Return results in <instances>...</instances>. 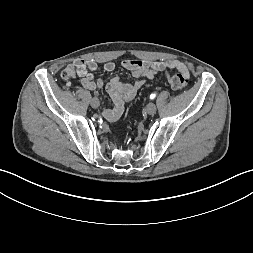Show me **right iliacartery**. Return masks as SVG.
<instances>
[{
	"mask_svg": "<svg viewBox=\"0 0 253 253\" xmlns=\"http://www.w3.org/2000/svg\"><path fill=\"white\" fill-rule=\"evenodd\" d=\"M99 95L98 92H94V96L97 97Z\"/></svg>",
	"mask_w": 253,
	"mask_h": 253,
	"instance_id": "obj_1",
	"label": "right iliac artery"
}]
</instances>
